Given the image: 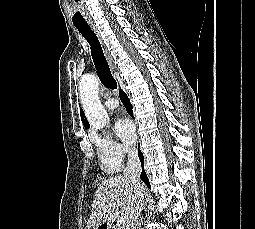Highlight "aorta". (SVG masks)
<instances>
[{"label": "aorta", "mask_w": 255, "mask_h": 229, "mask_svg": "<svg viewBox=\"0 0 255 229\" xmlns=\"http://www.w3.org/2000/svg\"><path fill=\"white\" fill-rule=\"evenodd\" d=\"M98 78L86 75L80 81V98L90 124L96 129H102L109 121V116L98 97Z\"/></svg>", "instance_id": "aorta-1"}]
</instances>
